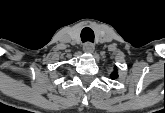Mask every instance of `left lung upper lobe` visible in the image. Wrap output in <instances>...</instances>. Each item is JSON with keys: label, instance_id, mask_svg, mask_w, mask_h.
<instances>
[{"label": "left lung upper lobe", "instance_id": "obj_1", "mask_svg": "<svg viewBox=\"0 0 165 113\" xmlns=\"http://www.w3.org/2000/svg\"><path fill=\"white\" fill-rule=\"evenodd\" d=\"M112 79H115L118 77V74H117V69L114 70V72H112V75H111Z\"/></svg>", "mask_w": 165, "mask_h": 113}]
</instances>
